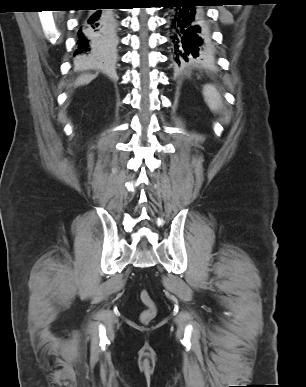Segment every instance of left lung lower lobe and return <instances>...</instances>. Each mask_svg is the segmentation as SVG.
Returning a JSON list of instances; mask_svg holds the SVG:
<instances>
[{"mask_svg": "<svg viewBox=\"0 0 306 387\" xmlns=\"http://www.w3.org/2000/svg\"><path fill=\"white\" fill-rule=\"evenodd\" d=\"M172 62L185 67L203 60L210 48L205 13L208 0H168Z\"/></svg>", "mask_w": 306, "mask_h": 387, "instance_id": "left-lung-lower-lobe-1", "label": "left lung lower lobe"}]
</instances>
